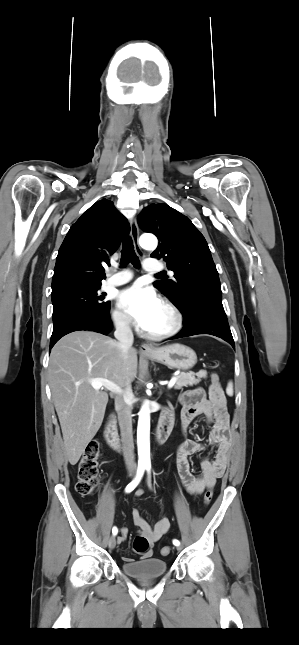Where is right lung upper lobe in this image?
Segmentation results:
<instances>
[{
    "mask_svg": "<svg viewBox=\"0 0 299 645\" xmlns=\"http://www.w3.org/2000/svg\"><path fill=\"white\" fill-rule=\"evenodd\" d=\"M130 225L113 203L103 199L72 225L56 259L52 293L70 286L101 285L104 265L115 253Z\"/></svg>",
    "mask_w": 299,
    "mask_h": 645,
    "instance_id": "obj_1",
    "label": "right lung upper lobe"
}]
</instances>
